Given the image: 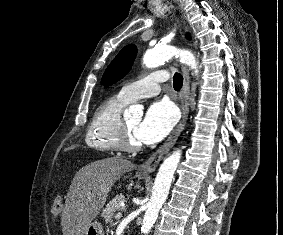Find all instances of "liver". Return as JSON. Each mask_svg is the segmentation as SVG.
Here are the masks:
<instances>
[{"label": "liver", "instance_id": "6515ba94", "mask_svg": "<svg viewBox=\"0 0 283 235\" xmlns=\"http://www.w3.org/2000/svg\"><path fill=\"white\" fill-rule=\"evenodd\" d=\"M135 165L110 157L82 167L73 178L61 217L63 235H84L103 208L115 182Z\"/></svg>", "mask_w": 283, "mask_h": 235}]
</instances>
